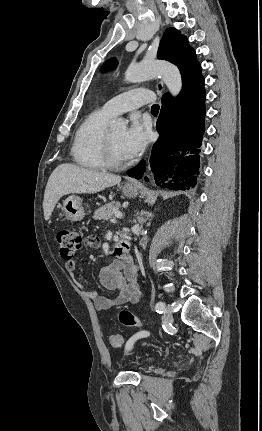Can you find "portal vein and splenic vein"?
I'll use <instances>...</instances> for the list:
<instances>
[{
  "label": "portal vein and splenic vein",
  "mask_w": 262,
  "mask_h": 431,
  "mask_svg": "<svg viewBox=\"0 0 262 431\" xmlns=\"http://www.w3.org/2000/svg\"><path fill=\"white\" fill-rule=\"evenodd\" d=\"M115 217L116 218H118V219H121L122 218V213L121 212H115Z\"/></svg>",
  "instance_id": "18ae733b"
}]
</instances>
